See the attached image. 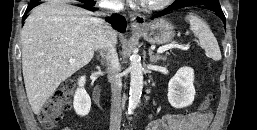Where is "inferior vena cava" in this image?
Segmentation results:
<instances>
[{"mask_svg":"<svg viewBox=\"0 0 257 130\" xmlns=\"http://www.w3.org/2000/svg\"><path fill=\"white\" fill-rule=\"evenodd\" d=\"M123 8L121 0H111L110 13L119 12ZM116 32L110 24L103 21L99 31L98 49L108 59V80L111 84L110 130H120L121 124V90L122 79L120 63L116 52Z\"/></svg>","mask_w":257,"mask_h":130,"instance_id":"602c4592","label":"inferior vena cava"}]
</instances>
